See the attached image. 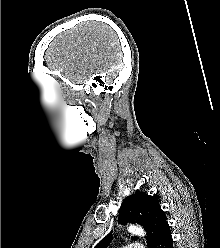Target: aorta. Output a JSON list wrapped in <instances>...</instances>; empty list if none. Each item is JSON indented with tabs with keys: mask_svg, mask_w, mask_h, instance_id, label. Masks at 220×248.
Listing matches in <instances>:
<instances>
[{
	"mask_svg": "<svg viewBox=\"0 0 220 248\" xmlns=\"http://www.w3.org/2000/svg\"><path fill=\"white\" fill-rule=\"evenodd\" d=\"M128 231L133 233V234L139 235V236H144L145 235L144 230L140 226L130 225L128 227Z\"/></svg>",
	"mask_w": 220,
	"mask_h": 248,
	"instance_id": "1",
	"label": "aorta"
}]
</instances>
